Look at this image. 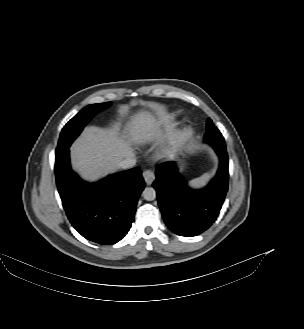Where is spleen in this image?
<instances>
[{"mask_svg":"<svg viewBox=\"0 0 304 329\" xmlns=\"http://www.w3.org/2000/svg\"><path fill=\"white\" fill-rule=\"evenodd\" d=\"M209 179H210V174L205 173L201 177L192 180L190 182V185L195 188H200V187L204 186L208 182Z\"/></svg>","mask_w":304,"mask_h":329,"instance_id":"obj_1","label":"spleen"}]
</instances>
